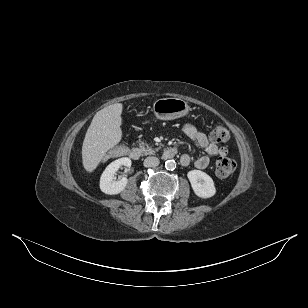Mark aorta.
<instances>
[{"mask_svg":"<svg viewBox=\"0 0 308 308\" xmlns=\"http://www.w3.org/2000/svg\"><path fill=\"white\" fill-rule=\"evenodd\" d=\"M165 168L167 170H174L176 168V163L174 160H167L165 162Z\"/></svg>","mask_w":308,"mask_h":308,"instance_id":"aorta-1","label":"aorta"}]
</instances>
